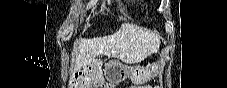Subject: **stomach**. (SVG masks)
I'll return each mask as SVG.
<instances>
[{"mask_svg":"<svg viewBox=\"0 0 227 88\" xmlns=\"http://www.w3.org/2000/svg\"><path fill=\"white\" fill-rule=\"evenodd\" d=\"M158 67V62L143 67L140 65L126 66L118 60H111L106 64L105 73L112 83H120L129 77L134 84L140 85L150 80L157 72Z\"/></svg>","mask_w":227,"mask_h":88,"instance_id":"obj_1","label":"stomach"}]
</instances>
